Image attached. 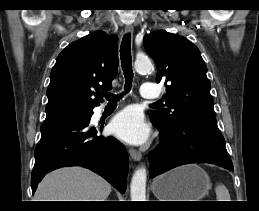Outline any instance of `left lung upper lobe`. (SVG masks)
<instances>
[{
	"label": "left lung upper lobe",
	"instance_id": "left-lung-upper-lobe-1",
	"mask_svg": "<svg viewBox=\"0 0 259 211\" xmlns=\"http://www.w3.org/2000/svg\"><path fill=\"white\" fill-rule=\"evenodd\" d=\"M144 47L156 62V82L166 85L168 109L152 111L151 120L166 129L187 119L217 125L207 67L197 46L160 30L144 36Z\"/></svg>",
	"mask_w": 259,
	"mask_h": 211
}]
</instances>
